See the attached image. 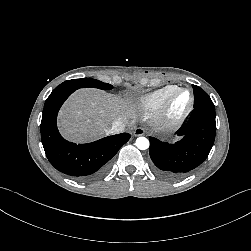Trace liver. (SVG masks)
I'll return each mask as SVG.
<instances>
[{
    "label": "liver",
    "mask_w": 251,
    "mask_h": 251,
    "mask_svg": "<svg viewBox=\"0 0 251 251\" xmlns=\"http://www.w3.org/2000/svg\"><path fill=\"white\" fill-rule=\"evenodd\" d=\"M135 119V108L129 100L97 89H82L65 103L59 126L65 137L84 142L109 134L116 120L132 125Z\"/></svg>",
    "instance_id": "liver-1"
}]
</instances>
